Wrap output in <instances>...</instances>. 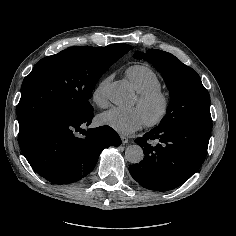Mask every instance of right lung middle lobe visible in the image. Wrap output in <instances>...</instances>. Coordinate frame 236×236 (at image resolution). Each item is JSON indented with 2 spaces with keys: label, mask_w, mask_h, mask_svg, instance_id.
Segmentation results:
<instances>
[{
  "label": "right lung middle lobe",
  "mask_w": 236,
  "mask_h": 236,
  "mask_svg": "<svg viewBox=\"0 0 236 236\" xmlns=\"http://www.w3.org/2000/svg\"><path fill=\"white\" fill-rule=\"evenodd\" d=\"M131 48L79 46L41 59L22 83L19 130L51 115L80 117L92 112L89 99L97 81Z\"/></svg>",
  "instance_id": "dd1d6c3e"
}]
</instances>
